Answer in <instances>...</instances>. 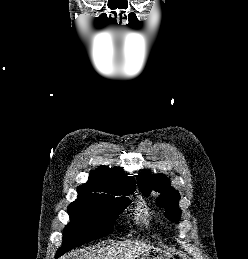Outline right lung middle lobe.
I'll return each mask as SVG.
<instances>
[{
	"instance_id": "dd1d6c3e",
	"label": "right lung middle lobe",
	"mask_w": 248,
	"mask_h": 259,
	"mask_svg": "<svg viewBox=\"0 0 248 259\" xmlns=\"http://www.w3.org/2000/svg\"><path fill=\"white\" fill-rule=\"evenodd\" d=\"M134 191H122L117 195L79 193L68 207L70 223L65 227L63 245L56 257L86 242L107 236L113 230L117 217L130 203L126 196Z\"/></svg>"
}]
</instances>
